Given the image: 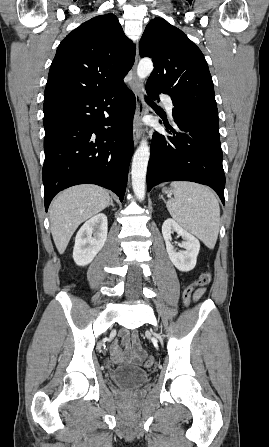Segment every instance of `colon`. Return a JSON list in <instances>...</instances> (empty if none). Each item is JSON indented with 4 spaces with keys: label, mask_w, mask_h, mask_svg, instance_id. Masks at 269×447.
<instances>
[{
    "label": "colon",
    "mask_w": 269,
    "mask_h": 447,
    "mask_svg": "<svg viewBox=\"0 0 269 447\" xmlns=\"http://www.w3.org/2000/svg\"><path fill=\"white\" fill-rule=\"evenodd\" d=\"M212 280V274L210 271L203 272L195 281L190 285L185 286L182 301L184 302L185 308L188 306L190 298L194 295V292L206 285H208ZM141 363L149 368L153 363V359L150 356H142Z\"/></svg>",
    "instance_id": "obj_1"
}]
</instances>
